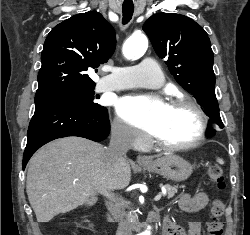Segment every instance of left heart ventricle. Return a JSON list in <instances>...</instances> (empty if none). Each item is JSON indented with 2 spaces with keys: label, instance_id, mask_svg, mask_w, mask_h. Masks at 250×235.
<instances>
[{
  "label": "left heart ventricle",
  "instance_id": "b2bd125f",
  "mask_svg": "<svg viewBox=\"0 0 250 235\" xmlns=\"http://www.w3.org/2000/svg\"><path fill=\"white\" fill-rule=\"evenodd\" d=\"M198 131L196 114L187 107H165L152 134L163 142L181 144L191 141Z\"/></svg>",
  "mask_w": 250,
  "mask_h": 235
}]
</instances>
